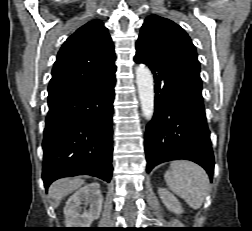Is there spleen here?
Instances as JSON below:
<instances>
[{
    "mask_svg": "<svg viewBox=\"0 0 252 231\" xmlns=\"http://www.w3.org/2000/svg\"><path fill=\"white\" fill-rule=\"evenodd\" d=\"M164 178L169 189L182 198L191 208L199 209L209 187V178L199 165L177 160L170 164Z\"/></svg>",
    "mask_w": 252,
    "mask_h": 231,
    "instance_id": "3e777b00",
    "label": "spleen"
}]
</instances>
